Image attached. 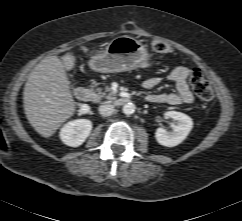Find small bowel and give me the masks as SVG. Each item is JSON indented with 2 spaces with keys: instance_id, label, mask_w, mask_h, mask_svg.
<instances>
[{
  "instance_id": "small-bowel-1",
  "label": "small bowel",
  "mask_w": 242,
  "mask_h": 221,
  "mask_svg": "<svg viewBox=\"0 0 242 221\" xmlns=\"http://www.w3.org/2000/svg\"><path fill=\"white\" fill-rule=\"evenodd\" d=\"M191 70L188 67L177 65L167 75V79L174 83L176 92L148 93L146 100L151 103H165L169 105L191 104L194 101L193 94L188 85ZM162 81L161 77L148 78L143 82L146 90L153 89Z\"/></svg>"
}]
</instances>
